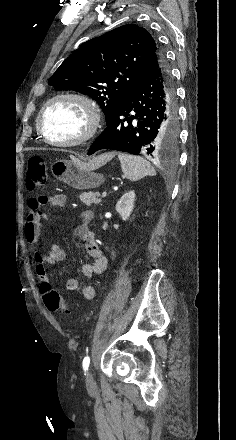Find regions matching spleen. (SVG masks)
Returning a JSON list of instances; mask_svg holds the SVG:
<instances>
[{
    "label": "spleen",
    "mask_w": 236,
    "mask_h": 440,
    "mask_svg": "<svg viewBox=\"0 0 236 440\" xmlns=\"http://www.w3.org/2000/svg\"><path fill=\"white\" fill-rule=\"evenodd\" d=\"M118 158L123 174L131 181H138L147 175L153 176L156 173L151 163L142 157L119 153Z\"/></svg>",
    "instance_id": "spleen-1"
}]
</instances>
